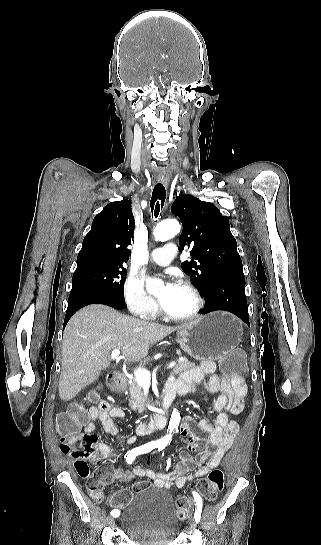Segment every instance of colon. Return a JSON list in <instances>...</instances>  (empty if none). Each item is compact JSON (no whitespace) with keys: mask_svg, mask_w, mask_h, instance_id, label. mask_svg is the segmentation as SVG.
<instances>
[{"mask_svg":"<svg viewBox=\"0 0 321 545\" xmlns=\"http://www.w3.org/2000/svg\"><path fill=\"white\" fill-rule=\"evenodd\" d=\"M220 367L223 373L233 378H244L246 374V365L241 353L232 352L220 360ZM97 395L92 393L89 396L90 401H95ZM88 419L87 409L79 403H74L60 414L57 418L56 431L60 437V450L62 453L73 456L78 459L92 455L96 449L97 437L93 434L81 433L82 426ZM79 469L78 473L86 479V488L89 495L99 501L102 499L104 479L107 473L96 471L93 475L86 473L84 464L75 465ZM224 473L220 469H214L209 474L200 479L195 487L194 493L198 494L207 501H213L224 487ZM150 487L147 481H141L134 485L133 491L123 489L113 495L110 499L111 507L116 510L123 509L131 500L132 492H138ZM193 496L180 497L176 501V514L180 520L190 517L194 504Z\"/></svg>","mask_w":321,"mask_h":545,"instance_id":"obj_1","label":"colon"}]
</instances>
